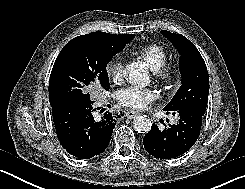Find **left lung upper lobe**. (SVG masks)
I'll return each mask as SVG.
<instances>
[{"mask_svg": "<svg viewBox=\"0 0 245 189\" xmlns=\"http://www.w3.org/2000/svg\"><path fill=\"white\" fill-rule=\"evenodd\" d=\"M180 54L179 67L182 84L172 100L167 104V110L195 108L205 113L209 94V75L206 64L197 48L187 38L180 34L162 30Z\"/></svg>", "mask_w": 245, "mask_h": 189, "instance_id": "5c2ea615", "label": "left lung upper lobe"}]
</instances>
